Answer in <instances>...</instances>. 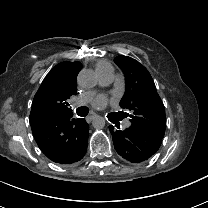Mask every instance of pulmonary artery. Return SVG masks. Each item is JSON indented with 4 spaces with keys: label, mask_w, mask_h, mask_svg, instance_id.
Here are the masks:
<instances>
[{
    "label": "pulmonary artery",
    "mask_w": 208,
    "mask_h": 208,
    "mask_svg": "<svg viewBox=\"0 0 208 208\" xmlns=\"http://www.w3.org/2000/svg\"><path fill=\"white\" fill-rule=\"evenodd\" d=\"M114 70L113 68L108 69V71L101 75V81L103 84H107L113 80Z\"/></svg>",
    "instance_id": "1"
}]
</instances>
